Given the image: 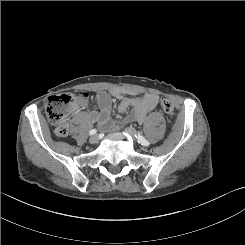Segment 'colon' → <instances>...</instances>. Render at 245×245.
Listing matches in <instances>:
<instances>
[{
    "mask_svg": "<svg viewBox=\"0 0 245 245\" xmlns=\"http://www.w3.org/2000/svg\"><path fill=\"white\" fill-rule=\"evenodd\" d=\"M86 97L87 94L85 92H80L78 94L65 93L52 96L48 99L45 112L48 120L55 126L54 131L56 136L62 138L67 135V120L73 110ZM160 104L170 118L175 117V107L170 100L161 98Z\"/></svg>",
    "mask_w": 245,
    "mask_h": 245,
    "instance_id": "5ec220e1",
    "label": "colon"
}]
</instances>
